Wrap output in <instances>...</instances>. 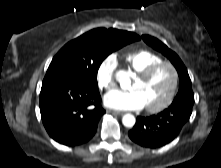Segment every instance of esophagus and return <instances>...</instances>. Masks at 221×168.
I'll use <instances>...</instances> for the list:
<instances>
[{
  "mask_svg": "<svg viewBox=\"0 0 221 168\" xmlns=\"http://www.w3.org/2000/svg\"><path fill=\"white\" fill-rule=\"evenodd\" d=\"M108 112L115 114V115H122L123 114L121 111H116V110H108Z\"/></svg>",
  "mask_w": 221,
  "mask_h": 168,
  "instance_id": "esophagus-1",
  "label": "esophagus"
}]
</instances>
